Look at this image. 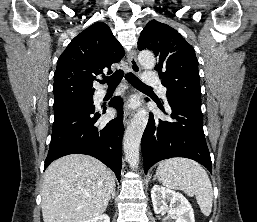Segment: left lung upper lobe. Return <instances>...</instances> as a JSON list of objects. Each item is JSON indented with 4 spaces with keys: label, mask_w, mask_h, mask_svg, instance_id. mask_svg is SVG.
I'll list each match as a JSON object with an SVG mask.
<instances>
[{
    "label": "left lung upper lobe",
    "mask_w": 257,
    "mask_h": 222,
    "mask_svg": "<svg viewBox=\"0 0 257 222\" xmlns=\"http://www.w3.org/2000/svg\"><path fill=\"white\" fill-rule=\"evenodd\" d=\"M138 49L152 50L168 99L176 98L201 106L198 61L193 47L172 27L150 21L141 32Z\"/></svg>",
    "instance_id": "1"
}]
</instances>
